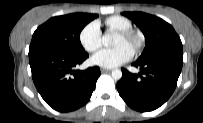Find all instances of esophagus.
I'll return each mask as SVG.
<instances>
[{"label":"esophagus","mask_w":203,"mask_h":123,"mask_svg":"<svg viewBox=\"0 0 203 123\" xmlns=\"http://www.w3.org/2000/svg\"><path fill=\"white\" fill-rule=\"evenodd\" d=\"M110 71H111V69L101 68L102 73H106V72H110Z\"/></svg>","instance_id":"34e87169"}]
</instances>
